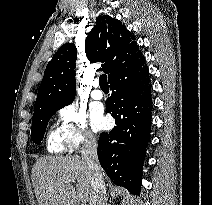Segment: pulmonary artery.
<instances>
[{
	"label": "pulmonary artery",
	"instance_id": "pulmonary-artery-1",
	"mask_svg": "<svg viewBox=\"0 0 212 205\" xmlns=\"http://www.w3.org/2000/svg\"><path fill=\"white\" fill-rule=\"evenodd\" d=\"M103 92L99 88L98 80L93 81V89L91 91V97L95 100H101L103 98Z\"/></svg>",
	"mask_w": 212,
	"mask_h": 205
}]
</instances>
